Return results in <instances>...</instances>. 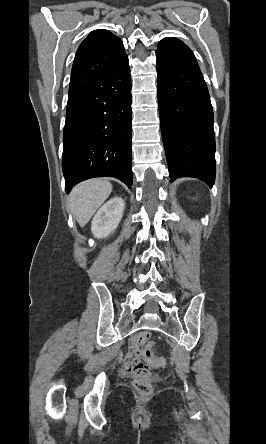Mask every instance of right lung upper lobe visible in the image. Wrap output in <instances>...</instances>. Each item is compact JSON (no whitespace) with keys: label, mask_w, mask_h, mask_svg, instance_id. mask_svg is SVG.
I'll list each match as a JSON object with an SVG mask.
<instances>
[{"label":"right lung upper lobe","mask_w":266,"mask_h":444,"mask_svg":"<svg viewBox=\"0 0 266 444\" xmlns=\"http://www.w3.org/2000/svg\"><path fill=\"white\" fill-rule=\"evenodd\" d=\"M126 56L120 38L104 29L92 31L76 52L68 97L89 87Z\"/></svg>","instance_id":"1"}]
</instances>
